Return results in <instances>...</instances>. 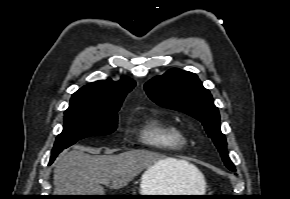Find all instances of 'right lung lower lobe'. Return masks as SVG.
<instances>
[{
  "instance_id": "1",
  "label": "right lung lower lobe",
  "mask_w": 290,
  "mask_h": 199,
  "mask_svg": "<svg viewBox=\"0 0 290 199\" xmlns=\"http://www.w3.org/2000/svg\"><path fill=\"white\" fill-rule=\"evenodd\" d=\"M54 159H55V158L51 157V159H50V163H49V164H51V163L54 161Z\"/></svg>"
}]
</instances>
